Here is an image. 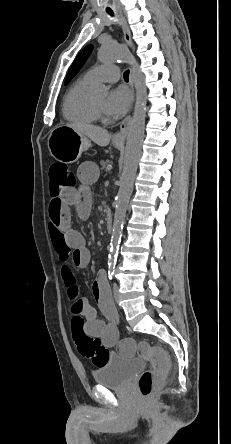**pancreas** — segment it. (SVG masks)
Segmentation results:
<instances>
[{
    "label": "pancreas",
    "mask_w": 231,
    "mask_h": 444,
    "mask_svg": "<svg viewBox=\"0 0 231 444\" xmlns=\"http://www.w3.org/2000/svg\"><path fill=\"white\" fill-rule=\"evenodd\" d=\"M109 167H111V161H101V170H107Z\"/></svg>",
    "instance_id": "obj_1"
}]
</instances>
